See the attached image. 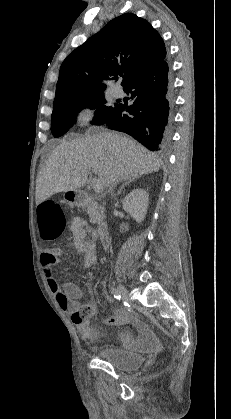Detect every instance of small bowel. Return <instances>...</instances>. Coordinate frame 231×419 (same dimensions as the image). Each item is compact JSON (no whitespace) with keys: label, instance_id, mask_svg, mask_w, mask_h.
Returning a JSON list of instances; mask_svg holds the SVG:
<instances>
[{"label":"small bowel","instance_id":"obj_1","mask_svg":"<svg viewBox=\"0 0 231 419\" xmlns=\"http://www.w3.org/2000/svg\"><path fill=\"white\" fill-rule=\"evenodd\" d=\"M70 230L73 235V246L83 256V267L89 268L95 265L97 262V253L94 231L89 227L85 219L79 216L72 219ZM62 255L63 250L58 247L45 249L41 252V265L47 284L60 309L71 314L72 320L81 336L86 340L94 341L96 334L89 325V320L93 315L88 318H82L79 313V308L84 305L81 301L83 297L81 288L71 281L65 282L60 286L55 278L54 265L60 262ZM88 304L92 305L95 309V305L92 302ZM105 323L107 325H132L138 332V338H135L129 331L120 332L119 337L124 347L127 349H149L153 340L151 331L143 323L135 320L130 312L116 310L112 317L105 320Z\"/></svg>","mask_w":231,"mask_h":419}]
</instances>
